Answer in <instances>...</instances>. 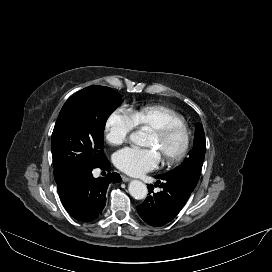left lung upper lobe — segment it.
Returning <instances> with one entry per match:
<instances>
[{
	"mask_svg": "<svg viewBox=\"0 0 272 272\" xmlns=\"http://www.w3.org/2000/svg\"><path fill=\"white\" fill-rule=\"evenodd\" d=\"M205 148L206 141L203 126L196 124L194 146L189 158L186 159V161L181 166L168 173L162 174V176L183 180L193 186H196L202 169L205 156Z\"/></svg>",
	"mask_w": 272,
	"mask_h": 272,
	"instance_id": "5c2ea615",
	"label": "left lung upper lobe"
}]
</instances>
